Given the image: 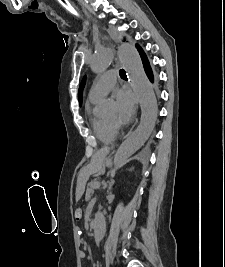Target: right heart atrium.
I'll use <instances>...</instances> for the list:
<instances>
[{
    "label": "right heart atrium",
    "mask_w": 225,
    "mask_h": 267,
    "mask_svg": "<svg viewBox=\"0 0 225 267\" xmlns=\"http://www.w3.org/2000/svg\"><path fill=\"white\" fill-rule=\"evenodd\" d=\"M111 127H112L114 130H116V127H115L114 124H111Z\"/></svg>",
    "instance_id": "obj_1"
}]
</instances>
